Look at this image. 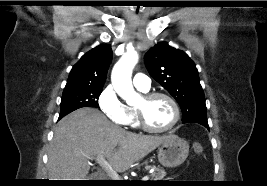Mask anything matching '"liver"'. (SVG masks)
<instances>
[{
  "mask_svg": "<svg viewBox=\"0 0 267 186\" xmlns=\"http://www.w3.org/2000/svg\"><path fill=\"white\" fill-rule=\"evenodd\" d=\"M169 136L139 135L110 122L98 109L81 108L58 122L48 152L49 180H85L89 157H105L125 172Z\"/></svg>",
  "mask_w": 267,
  "mask_h": 186,
  "instance_id": "1",
  "label": "liver"
}]
</instances>
